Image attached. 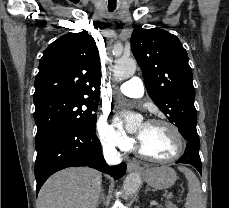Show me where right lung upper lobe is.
<instances>
[{"instance_id":"right-lung-upper-lobe-1","label":"right lung upper lobe","mask_w":229,"mask_h":208,"mask_svg":"<svg viewBox=\"0 0 229 208\" xmlns=\"http://www.w3.org/2000/svg\"><path fill=\"white\" fill-rule=\"evenodd\" d=\"M101 63L96 42L87 31L68 33L44 51L33 100L73 95L99 100Z\"/></svg>"}]
</instances>
